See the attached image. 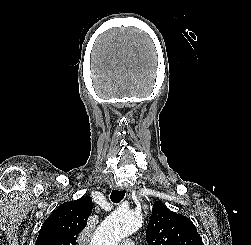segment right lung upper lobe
Segmentation results:
<instances>
[{
	"instance_id": "cb5924a9",
	"label": "right lung upper lobe",
	"mask_w": 251,
	"mask_h": 245,
	"mask_svg": "<svg viewBox=\"0 0 251 245\" xmlns=\"http://www.w3.org/2000/svg\"><path fill=\"white\" fill-rule=\"evenodd\" d=\"M92 207V200L88 195L61 204L43 223L35 245H76Z\"/></svg>"
}]
</instances>
